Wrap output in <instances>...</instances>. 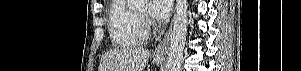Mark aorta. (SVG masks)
Returning <instances> with one entry per match:
<instances>
[{
	"label": "aorta",
	"instance_id": "1",
	"mask_svg": "<svg viewBox=\"0 0 301 71\" xmlns=\"http://www.w3.org/2000/svg\"><path fill=\"white\" fill-rule=\"evenodd\" d=\"M136 6L147 4V0H132ZM188 27V1L176 0L173 30L166 64V71H180L183 50L185 46Z\"/></svg>",
	"mask_w": 301,
	"mask_h": 71
}]
</instances>
